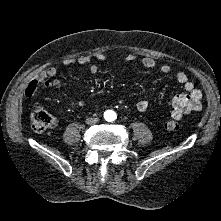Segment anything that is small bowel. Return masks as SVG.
<instances>
[{
  "mask_svg": "<svg viewBox=\"0 0 221 221\" xmlns=\"http://www.w3.org/2000/svg\"><path fill=\"white\" fill-rule=\"evenodd\" d=\"M97 58L100 61H105V56L99 54ZM134 56L129 55L126 57L128 62L134 61ZM90 58L87 56H82L78 59V63L81 65H88L90 63ZM74 62L73 59H66L65 64L70 65ZM141 65L148 70L159 69L163 74H171V68L167 64L158 65L156 60L153 57L145 56L141 59ZM91 73L95 74L98 72V66L92 64L89 66ZM58 69L55 66H49L43 71H41L24 89V96L26 98L33 97L39 87H45L50 89H59L61 83L57 79H53L57 75ZM173 77L175 81L182 85L186 91L183 94L176 95L171 101L172 106V116L175 118L177 116H183L190 111L198 110L200 108V102L202 99V93L199 89L195 87V84L189 79L187 74L184 71L177 70L173 72ZM79 105L82 102H78ZM39 106L38 104L35 107ZM137 109L141 112H144L148 109L147 100H139L137 102Z\"/></svg>",
  "mask_w": 221,
  "mask_h": 221,
  "instance_id": "1",
  "label": "small bowel"
}]
</instances>
